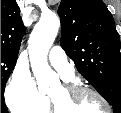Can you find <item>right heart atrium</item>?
Returning a JSON list of instances; mask_svg holds the SVG:
<instances>
[{"label":"right heart atrium","instance_id":"1","mask_svg":"<svg viewBox=\"0 0 121 113\" xmlns=\"http://www.w3.org/2000/svg\"><path fill=\"white\" fill-rule=\"evenodd\" d=\"M5 99L15 113H38L45 100L26 70L16 67L8 81Z\"/></svg>","mask_w":121,"mask_h":113}]
</instances>
